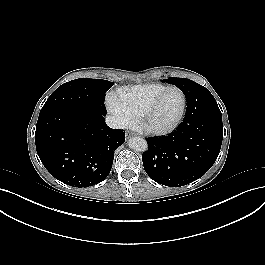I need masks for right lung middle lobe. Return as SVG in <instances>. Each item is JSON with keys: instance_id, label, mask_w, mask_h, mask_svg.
Wrapping results in <instances>:
<instances>
[{"instance_id": "right-lung-middle-lobe-1", "label": "right lung middle lobe", "mask_w": 265, "mask_h": 265, "mask_svg": "<svg viewBox=\"0 0 265 265\" xmlns=\"http://www.w3.org/2000/svg\"><path fill=\"white\" fill-rule=\"evenodd\" d=\"M113 82L80 78L59 86L47 99L42 109L72 107L81 110H96L106 114L105 93Z\"/></svg>"}]
</instances>
